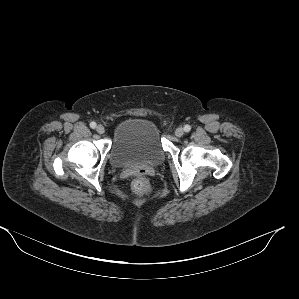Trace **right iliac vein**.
Instances as JSON below:
<instances>
[{"mask_svg": "<svg viewBox=\"0 0 299 299\" xmlns=\"http://www.w3.org/2000/svg\"><path fill=\"white\" fill-rule=\"evenodd\" d=\"M96 131H97L99 134H103V133L105 132V128H104V126H102V125H98V126L96 127Z\"/></svg>", "mask_w": 299, "mask_h": 299, "instance_id": "obj_1", "label": "right iliac vein"}]
</instances>
